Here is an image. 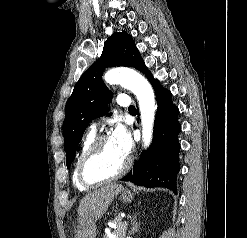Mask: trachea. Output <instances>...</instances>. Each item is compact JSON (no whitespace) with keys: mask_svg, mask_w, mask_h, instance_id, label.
I'll return each instance as SVG.
<instances>
[{"mask_svg":"<svg viewBox=\"0 0 247 238\" xmlns=\"http://www.w3.org/2000/svg\"><path fill=\"white\" fill-rule=\"evenodd\" d=\"M129 110H136V108H135L133 105H131V106L129 107Z\"/></svg>","mask_w":247,"mask_h":238,"instance_id":"obj_1","label":"trachea"}]
</instances>
